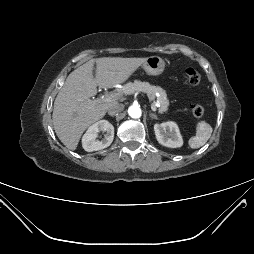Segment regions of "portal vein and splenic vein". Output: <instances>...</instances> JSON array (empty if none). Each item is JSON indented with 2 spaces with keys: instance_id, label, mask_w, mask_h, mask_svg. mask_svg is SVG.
Wrapping results in <instances>:
<instances>
[{
  "instance_id": "18ae733b",
  "label": "portal vein and splenic vein",
  "mask_w": 254,
  "mask_h": 254,
  "mask_svg": "<svg viewBox=\"0 0 254 254\" xmlns=\"http://www.w3.org/2000/svg\"><path fill=\"white\" fill-rule=\"evenodd\" d=\"M120 97L119 93H110V94H105L99 98H97L96 100H94V103H102V102H111L114 101L115 99H118ZM158 106V104L156 103H152L151 104V108L153 111L156 110V107Z\"/></svg>"
}]
</instances>
